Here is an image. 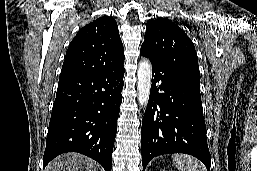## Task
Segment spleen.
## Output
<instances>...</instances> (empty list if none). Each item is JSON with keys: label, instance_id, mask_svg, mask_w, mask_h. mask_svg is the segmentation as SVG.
I'll list each match as a JSON object with an SVG mask.
<instances>
[{"label": "spleen", "instance_id": "1", "mask_svg": "<svg viewBox=\"0 0 257 171\" xmlns=\"http://www.w3.org/2000/svg\"><path fill=\"white\" fill-rule=\"evenodd\" d=\"M172 160L179 171H207L198 159L189 155L176 154Z\"/></svg>", "mask_w": 257, "mask_h": 171}]
</instances>
